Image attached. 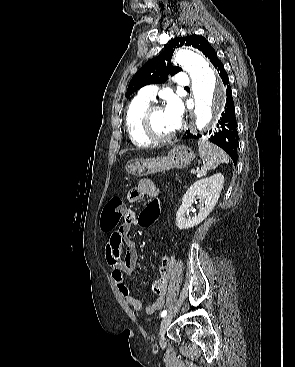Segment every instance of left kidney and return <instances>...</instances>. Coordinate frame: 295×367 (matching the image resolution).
<instances>
[{"instance_id":"left-kidney-1","label":"left kidney","mask_w":295,"mask_h":367,"mask_svg":"<svg viewBox=\"0 0 295 367\" xmlns=\"http://www.w3.org/2000/svg\"><path fill=\"white\" fill-rule=\"evenodd\" d=\"M224 184V176L221 173L209 178L196 181L186 191L182 204L176 214V225L180 230L189 229L200 224L212 212L215 207ZM199 198V213L189 217V207L195 197Z\"/></svg>"}]
</instances>
